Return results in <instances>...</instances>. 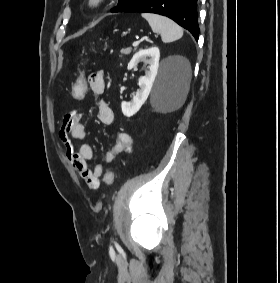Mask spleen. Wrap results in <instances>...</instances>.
I'll return each mask as SVG.
<instances>
[{
  "label": "spleen",
  "mask_w": 280,
  "mask_h": 283,
  "mask_svg": "<svg viewBox=\"0 0 280 283\" xmlns=\"http://www.w3.org/2000/svg\"><path fill=\"white\" fill-rule=\"evenodd\" d=\"M153 32L159 33L163 42H173L183 36V29L171 19L152 13H142Z\"/></svg>",
  "instance_id": "3e777b00"
}]
</instances>
